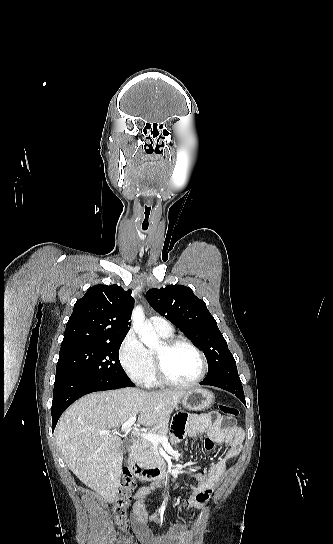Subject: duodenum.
I'll return each instance as SVG.
<instances>
[{
  "label": "duodenum",
  "instance_id": "410a0bca",
  "mask_svg": "<svg viewBox=\"0 0 333 544\" xmlns=\"http://www.w3.org/2000/svg\"><path fill=\"white\" fill-rule=\"evenodd\" d=\"M141 442L139 439L133 441L129 448L128 468L129 471L142 481L159 480L164 478L169 472V466L165 462L153 466H144L136 460Z\"/></svg>",
  "mask_w": 333,
  "mask_h": 544
}]
</instances>
